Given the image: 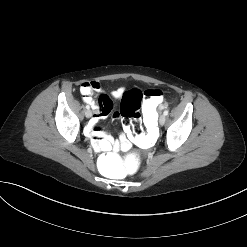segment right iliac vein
Returning a JSON list of instances; mask_svg holds the SVG:
<instances>
[{"mask_svg":"<svg viewBox=\"0 0 247 247\" xmlns=\"http://www.w3.org/2000/svg\"><path fill=\"white\" fill-rule=\"evenodd\" d=\"M85 116H86L87 118H90V117L92 116L91 110H86Z\"/></svg>","mask_w":247,"mask_h":247,"instance_id":"1","label":"right iliac vein"}]
</instances>
